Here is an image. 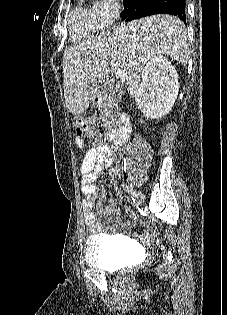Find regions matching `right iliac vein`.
<instances>
[{
  "mask_svg": "<svg viewBox=\"0 0 227 315\" xmlns=\"http://www.w3.org/2000/svg\"><path fill=\"white\" fill-rule=\"evenodd\" d=\"M136 200H137V205L140 206L142 204V194H141V192L137 193Z\"/></svg>",
  "mask_w": 227,
  "mask_h": 315,
  "instance_id": "obj_1",
  "label": "right iliac vein"
}]
</instances>
